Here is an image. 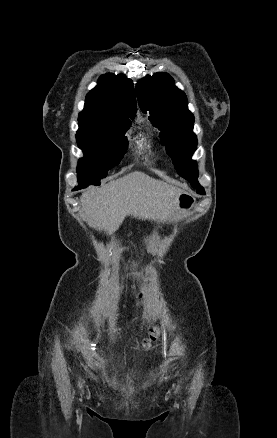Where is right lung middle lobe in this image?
I'll use <instances>...</instances> for the list:
<instances>
[{
    "label": "right lung middle lobe",
    "mask_w": 277,
    "mask_h": 438,
    "mask_svg": "<svg viewBox=\"0 0 277 438\" xmlns=\"http://www.w3.org/2000/svg\"><path fill=\"white\" fill-rule=\"evenodd\" d=\"M130 125V120L106 126L79 124L76 140L84 157L77 167V188L99 185L107 171L119 163L127 149L125 133Z\"/></svg>",
    "instance_id": "right-lung-middle-lobe-1"
}]
</instances>
